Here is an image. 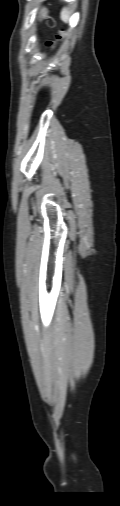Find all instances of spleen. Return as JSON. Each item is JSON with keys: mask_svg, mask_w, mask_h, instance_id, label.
<instances>
[{"mask_svg": "<svg viewBox=\"0 0 120 506\" xmlns=\"http://www.w3.org/2000/svg\"><path fill=\"white\" fill-rule=\"evenodd\" d=\"M61 19H62V21H63V22H65V23H66V22L68 21V19H69V12H68V10H67L66 8H65V9H63V10H62V12H61Z\"/></svg>", "mask_w": 120, "mask_h": 506, "instance_id": "obj_1", "label": "spleen"}]
</instances>
